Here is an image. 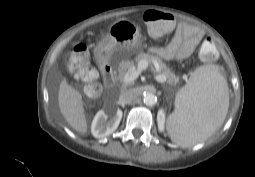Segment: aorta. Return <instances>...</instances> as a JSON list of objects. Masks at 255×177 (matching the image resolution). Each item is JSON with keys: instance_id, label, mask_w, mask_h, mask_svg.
Listing matches in <instances>:
<instances>
[{"instance_id": "762f6f07", "label": "aorta", "mask_w": 255, "mask_h": 177, "mask_svg": "<svg viewBox=\"0 0 255 177\" xmlns=\"http://www.w3.org/2000/svg\"><path fill=\"white\" fill-rule=\"evenodd\" d=\"M144 103L146 105H154L156 103V96L153 93H146L144 95Z\"/></svg>"}]
</instances>
